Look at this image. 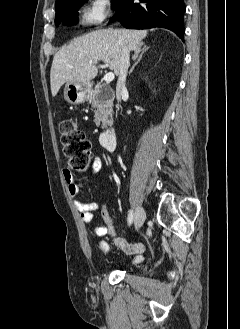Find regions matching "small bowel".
I'll list each match as a JSON object with an SVG mask.
<instances>
[{"mask_svg": "<svg viewBox=\"0 0 240 329\" xmlns=\"http://www.w3.org/2000/svg\"><path fill=\"white\" fill-rule=\"evenodd\" d=\"M101 166V160L95 156L91 166V173H98ZM62 177L66 183L68 194L75 199V207L79 211L81 220L87 224L91 223L94 220V212L101 210L103 222L95 227L94 234L99 237L109 236L118 248L128 255L134 256L135 266L140 265L144 260L143 253L145 251V245L143 243L131 244L124 238L118 236L113 225V219L106 208L100 207L94 202H82L77 200L84 186L82 183L76 181L68 166L63 168ZM95 247L103 255H108L110 253L109 244L103 240H96Z\"/></svg>", "mask_w": 240, "mask_h": 329, "instance_id": "obj_1", "label": "small bowel"}]
</instances>
